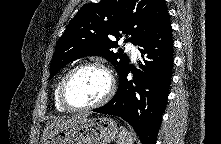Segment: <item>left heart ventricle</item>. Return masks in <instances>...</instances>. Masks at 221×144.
<instances>
[{
    "mask_svg": "<svg viewBox=\"0 0 221 144\" xmlns=\"http://www.w3.org/2000/svg\"><path fill=\"white\" fill-rule=\"evenodd\" d=\"M106 74L97 68H85L74 75L67 87V99L75 106L100 100L108 90Z\"/></svg>",
    "mask_w": 221,
    "mask_h": 144,
    "instance_id": "1",
    "label": "left heart ventricle"
}]
</instances>
